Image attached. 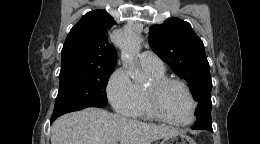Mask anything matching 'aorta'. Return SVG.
<instances>
[{
    "mask_svg": "<svg viewBox=\"0 0 260 144\" xmlns=\"http://www.w3.org/2000/svg\"><path fill=\"white\" fill-rule=\"evenodd\" d=\"M121 59L128 75L134 81L142 80L143 76L134 65L136 55L141 48V36L136 31L125 32L120 40Z\"/></svg>",
    "mask_w": 260,
    "mask_h": 144,
    "instance_id": "762f6f07",
    "label": "aorta"
}]
</instances>
